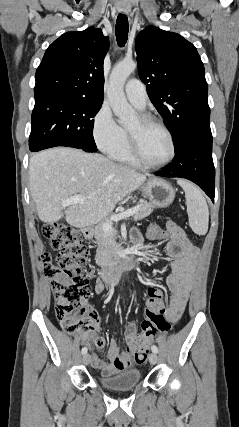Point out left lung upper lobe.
I'll return each mask as SVG.
<instances>
[{"mask_svg":"<svg viewBox=\"0 0 239 427\" xmlns=\"http://www.w3.org/2000/svg\"><path fill=\"white\" fill-rule=\"evenodd\" d=\"M138 73L170 130L175 150L189 137L212 135L208 85L195 46L181 35L147 26L135 41Z\"/></svg>","mask_w":239,"mask_h":427,"instance_id":"1","label":"left lung upper lobe"}]
</instances>
